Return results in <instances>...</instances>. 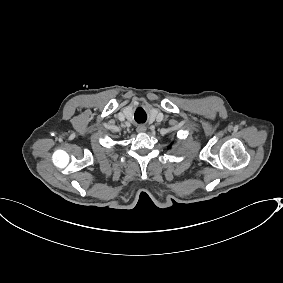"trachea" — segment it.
<instances>
[{"label":"trachea","mask_w":283,"mask_h":283,"mask_svg":"<svg viewBox=\"0 0 283 283\" xmlns=\"http://www.w3.org/2000/svg\"><path fill=\"white\" fill-rule=\"evenodd\" d=\"M134 118L138 123H144L146 121L147 115L142 107L137 108L134 114Z\"/></svg>","instance_id":"3493384b"}]
</instances>
